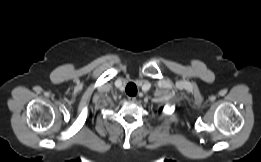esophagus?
<instances>
[{
    "mask_svg": "<svg viewBox=\"0 0 261 162\" xmlns=\"http://www.w3.org/2000/svg\"><path fill=\"white\" fill-rule=\"evenodd\" d=\"M128 100H129V101H132V102H135V101H136V97H131V96H129V97H128Z\"/></svg>",
    "mask_w": 261,
    "mask_h": 162,
    "instance_id": "esophagus-1",
    "label": "esophagus"
}]
</instances>
